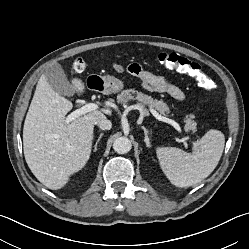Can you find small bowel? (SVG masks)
Returning <instances> with one entry per match:
<instances>
[{
  "mask_svg": "<svg viewBox=\"0 0 249 249\" xmlns=\"http://www.w3.org/2000/svg\"><path fill=\"white\" fill-rule=\"evenodd\" d=\"M117 71L122 72L120 68ZM127 71L136 76L144 89L154 93H167L172 98L182 101L185 99L183 91L175 84L168 82L164 77L156 75L149 70L143 69L137 64L130 65Z\"/></svg>",
  "mask_w": 249,
  "mask_h": 249,
  "instance_id": "c3829d8e",
  "label": "small bowel"
}]
</instances>
